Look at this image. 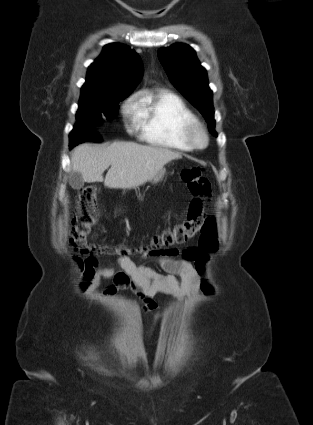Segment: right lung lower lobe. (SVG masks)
Wrapping results in <instances>:
<instances>
[{"mask_svg":"<svg viewBox=\"0 0 313 425\" xmlns=\"http://www.w3.org/2000/svg\"><path fill=\"white\" fill-rule=\"evenodd\" d=\"M70 137H75L76 139H78L77 144L85 141H102L100 136L93 131L92 127L86 124H80L78 127L74 128L73 131L70 133ZM77 144L70 145V148H73Z\"/></svg>","mask_w":313,"mask_h":425,"instance_id":"obj_1","label":"right lung lower lobe"}]
</instances>
